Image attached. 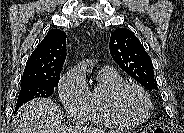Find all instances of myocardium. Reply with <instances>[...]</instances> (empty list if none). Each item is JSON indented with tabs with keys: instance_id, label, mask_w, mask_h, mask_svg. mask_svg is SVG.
<instances>
[{
	"instance_id": "f54148a6",
	"label": "myocardium",
	"mask_w": 184,
	"mask_h": 133,
	"mask_svg": "<svg viewBox=\"0 0 184 133\" xmlns=\"http://www.w3.org/2000/svg\"><path fill=\"white\" fill-rule=\"evenodd\" d=\"M130 89L137 90L144 97L147 104V112L141 119H132L128 117L122 110L121 100L124 93ZM108 103L113 115L123 124L140 125L148 120L152 113V101L148 92L140 85L132 82H124L115 87L109 95Z\"/></svg>"
}]
</instances>
